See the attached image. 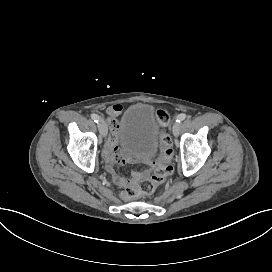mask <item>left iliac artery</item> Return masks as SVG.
Returning a JSON list of instances; mask_svg holds the SVG:
<instances>
[{"mask_svg":"<svg viewBox=\"0 0 272 272\" xmlns=\"http://www.w3.org/2000/svg\"><path fill=\"white\" fill-rule=\"evenodd\" d=\"M185 118H186V114L182 113V114H180V115L177 116L176 122L180 123L181 121L185 120Z\"/></svg>","mask_w":272,"mask_h":272,"instance_id":"obj_1","label":"left iliac artery"}]
</instances>
